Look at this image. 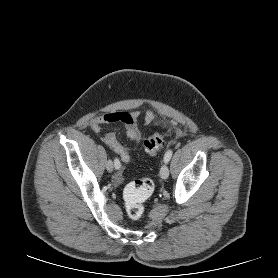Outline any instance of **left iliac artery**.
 Masks as SVG:
<instances>
[{
	"mask_svg": "<svg viewBox=\"0 0 278 278\" xmlns=\"http://www.w3.org/2000/svg\"><path fill=\"white\" fill-rule=\"evenodd\" d=\"M173 151L172 150H168L165 155H164V162L167 163L170 161L171 157H172Z\"/></svg>",
	"mask_w": 278,
	"mask_h": 278,
	"instance_id": "44dca946",
	"label": "left iliac artery"
}]
</instances>
